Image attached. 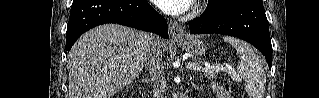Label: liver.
<instances>
[{"mask_svg": "<svg viewBox=\"0 0 319 98\" xmlns=\"http://www.w3.org/2000/svg\"><path fill=\"white\" fill-rule=\"evenodd\" d=\"M149 36L117 24L83 34L68 54L70 98H111L133 82L146 62Z\"/></svg>", "mask_w": 319, "mask_h": 98, "instance_id": "1", "label": "liver"}]
</instances>
